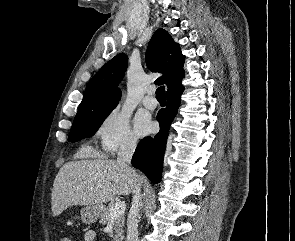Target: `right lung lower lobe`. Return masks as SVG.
<instances>
[{
    "label": "right lung lower lobe",
    "instance_id": "right-lung-lower-lobe-1",
    "mask_svg": "<svg viewBox=\"0 0 295 241\" xmlns=\"http://www.w3.org/2000/svg\"><path fill=\"white\" fill-rule=\"evenodd\" d=\"M184 88L181 84L167 90V106L157 114L160 131L155 137H145L138 144L132 158L133 167L141 170L152 183H159L162 177L163 157L170 124L177 114L180 96Z\"/></svg>",
    "mask_w": 295,
    "mask_h": 241
}]
</instances>
